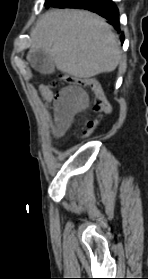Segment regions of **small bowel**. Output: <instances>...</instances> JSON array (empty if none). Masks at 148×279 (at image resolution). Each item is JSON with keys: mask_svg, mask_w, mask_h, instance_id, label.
<instances>
[{"mask_svg": "<svg viewBox=\"0 0 148 279\" xmlns=\"http://www.w3.org/2000/svg\"><path fill=\"white\" fill-rule=\"evenodd\" d=\"M87 103V94L81 87L71 85L62 87L52 102L54 110L53 136H62L70 127L74 117L86 108Z\"/></svg>", "mask_w": 148, "mask_h": 279, "instance_id": "c3829d8e", "label": "small bowel"}]
</instances>
